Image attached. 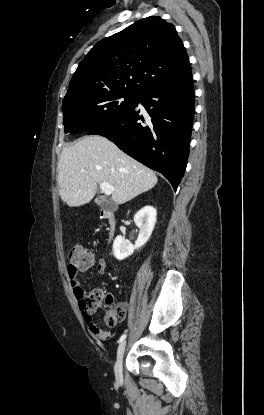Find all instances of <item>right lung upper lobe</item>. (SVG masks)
Instances as JSON below:
<instances>
[{"instance_id":"cb5924a9","label":"right lung upper lobe","mask_w":264,"mask_h":415,"mask_svg":"<svg viewBox=\"0 0 264 415\" xmlns=\"http://www.w3.org/2000/svg\"><path fill=\"white\" fill-rule=\"evenodd\" d=\"M191 73L175 27L150 16L98 42L73 74L64 100L87 94L145 90Z\"/></svg>"}]
</instances>
